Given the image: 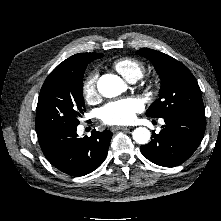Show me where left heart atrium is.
I'll return each mask as SVG.
<instances>
[{
    "mask_svg": "<svg viewBox=\"0 0 221 221\" xmlns=\"http://www.w3.org/2000/svg\"><path fill=\"white\" fill-rule=\"evenodd\" d=\"M143 104L135 97H127L111 101L100 110V119L107 125H124L134 121L141 112Z\"/></svg>",
    "mask_w": 221,
    "mask_h": 221,
    "instance_id": "left-heart-atrium-1",
    "label": "left heart atrium"
}]
</instances>
